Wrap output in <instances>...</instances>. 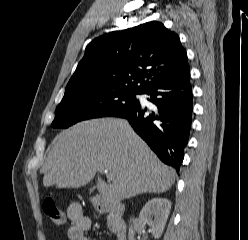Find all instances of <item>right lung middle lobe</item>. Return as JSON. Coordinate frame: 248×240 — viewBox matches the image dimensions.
I'll return each instance as SVG.
<instances>
[{"label": "right lung middle lobe", "mask_w": 248, "mask_h": 240, "mask_svg": "<svg viewBox=\"0 0 248 240\" xmlns=\"http://www.w3.org/2000/svg\"><path fill=\"white\" fill-rule=\"evenodd\" d=\"M136 94L127 89L81 88L65 90L57 106L53 128H67L79 121L113 116L139 103Z\"/></svg>", "instance_id": "right-lung-middle-lobe-1"}]
</instances>
